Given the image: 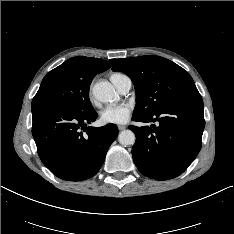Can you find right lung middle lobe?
Listing matches in <instances>:
<instances>
[{
	"instance_id": "dd1d6c3e",
	"label": "right lung middle lobe",
	"mask_w": 234,
	"mask_h": 234,
	"mask_svg": "<svg viewBox=\"0 0 234 234\" xmlns=\"http://www.w3.org/2000/svg\"><path fill=\"white\" fill-rule=\"evenodd\" d=\"M93 78L82 75L65 61L43 78L31 107L51 105L74 112L91 111L89 87Z\"/></svg>"
}]
</instances>
